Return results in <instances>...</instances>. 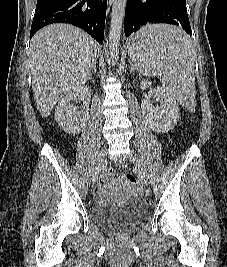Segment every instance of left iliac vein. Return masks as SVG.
Instances as JSON below:
<instances>
[{
  "label": "left iliac vein",
  "mask_w": 227,
  "mask_h": 267,
  "mask_svg": "<svg viewBox=\"0 0 227 267\" xmlns=\"http://www.w3.org/2000/svg\"><path fill=\"white\" fill-rule=\"evenodd\" d=\"M129 159L134 164V167L138 173L139 178L145 184H147L148 183L147 172H146V169H145L144 165L142 164V161L140 160L139 156L134 151H132L129 155Z\"/></svg>",
  "instance_id": "1"
}]
</instances>
